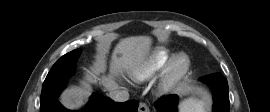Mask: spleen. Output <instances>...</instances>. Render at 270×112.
<instances>
[{"mask_svg": "<svg viewBox=\"0 0 270 112\" xmlns=\"http://www.w3.org/2000/svg\"><path fill=\"white\" fill-rule=\"evenodd\" d=\"M206 103L196 98H188L179 104L180 112H206Z\"/></svg>", "mask_w": 270, "mask_h": 112, "instance_id": "spleen-1", "label": "spleen"}]
</instances>
